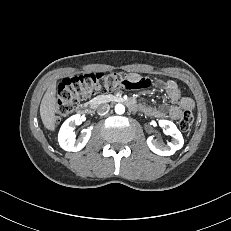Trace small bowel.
<instances>
[{
    "mask_svg": "<svg viewBox=\"0 0 231 231\" xmlns=\"http://www.w3.org/2000/svg\"><path fill=\"white\" fill-rule=\"evenodd\" d=\"M130 78L134 81L140 80L142 77L139 74L131 73ZM157 86L163 89L168 97V100L172 103L170 106H150L146 104L138 105V109L145 114L162 118L168 115L171 119L177 120L181 114L185 111H191L194 108V102L189 97H182L181 89L178 84L172 80L159 81Z\"/></svg>",
    "mask_w": 231,
    "mask_h": 231,
    "instance_id": "c3829d8e",
    "label": "small bowel"
}]
</instances>
